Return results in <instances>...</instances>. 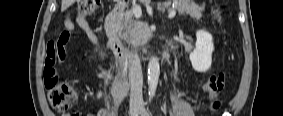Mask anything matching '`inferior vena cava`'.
<instances>
[{
    "label": "inferior vena cava",
    "instance_id": "602c4592",
    "mask_svg": "<svg viewBox=\"0 0 283 116\" xmlns=\"http://www.w3.org/2000/svg\"><path fill=\"white\" fill-rule=\"evenodd\" d=\"M129 81L131 83L130 102L136 104L142 103L143 75L138 54H134L132 57L129 68Z\"/></svg>",
    "mask_w": 283,
    "mask_h": 116
}]
</instances>
